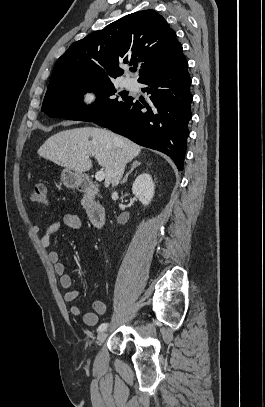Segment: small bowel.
Returning a JSON list of instances; mask_svg holds the SVG:
<instances>
[{"mask_svg": "<svg viewBox=\"0 0 265 407\" xmlns=\"http://www.w3.org/2000/svg\"><path fill=\"white\" fill-rule=\"evenodd\" d=\"M63 226L71 227L73 229H81L82 222L74 214H65L60 220L48 224L44 230L39 223H34L32 225V231L35 234L43 232L40 237V244L47 251L48 258L53 264L56 274L60 277L61 286L66 289L64 300L67 303H71L70 313L72 316H81L82 308L75 302L81 296L82 292L81 290L73 288L72 277L66 272V267L60 260L58 252L51 249V236ZM93 308V312H87L83 315V321L88 326H95L98 323V317L107 312V304L103 301L96 300L93 303Z\"/></svg>", "mask_w": 265, "mask_h": 407, "instance_id": "small-bowel-1", "label": "small bowel"}]
</instances>
